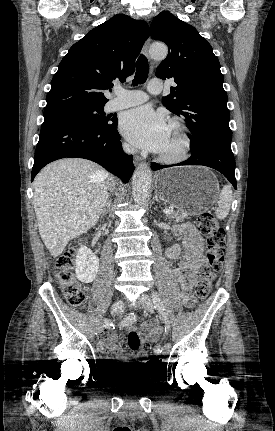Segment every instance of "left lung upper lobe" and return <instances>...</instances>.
Listing matches in <instances>:
<instances>
[{
  "instance_id": "5c2ea615",
  "label": "left lung upper lobe",
  "mask_w": 275,
  "mask_h": 431,
  "mask_svg": "<svg viewBox=\"0 0 275 431\" xmlns=\"http://www.w3.org/2000/svg\"><path fill=\"white\" fill-rule=\"evenodd\" d=\"M150 33L168 46V56L157 67L156 76L173 78L177 84L162 102L185 119L192 134L190 148L207 142H231L224 77L211 45L193 26L169 12L154 17Z\"/></svg>"
}]
</instances>
